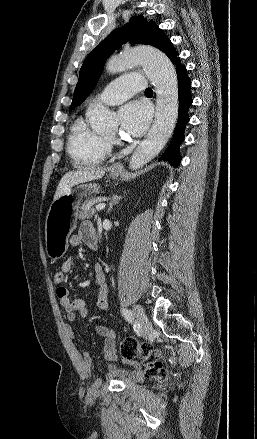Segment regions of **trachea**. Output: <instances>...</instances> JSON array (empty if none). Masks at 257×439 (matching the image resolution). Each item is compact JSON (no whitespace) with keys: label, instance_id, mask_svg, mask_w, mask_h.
Wrapping results in <instances>:
<instances>
[{"label":"trachea","instance_id":"3493384b","mask_svg":"<svg viewBox=\"0 0 257 439\" xmlns=\"http://www.w3.org/2000/svg\"><path fill=\"white\" fill-rule=\"evenodd\" d=\"M152 92V89L151 88H147L146 90H145V93H151Z\"/></svg>","mask_w":257,"mask_h":439}]
</instances>
